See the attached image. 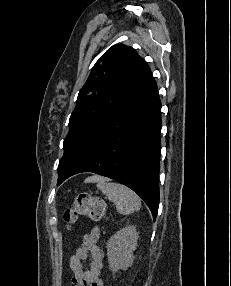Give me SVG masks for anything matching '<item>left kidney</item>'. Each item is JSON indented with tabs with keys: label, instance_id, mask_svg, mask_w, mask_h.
I'll return each mask as SVG.
<instances>
[{
	"label": "left kidney",
	"instance_id": "1",
	"mask_svg": "<svg viewBox=\"0 0 231 286\" xmlns=\"http://www.w3.org/2000/svg\"><path fill=\"white\" fill-rule=\"evenodd\" d=\"M138 233L134 225L117 231L107 242L109 268L113 273L126 270L133 264V251L136 249Z\"/></svg>",
	"mask_w": 231,
	"mask_h": 286
}]
</instances>
